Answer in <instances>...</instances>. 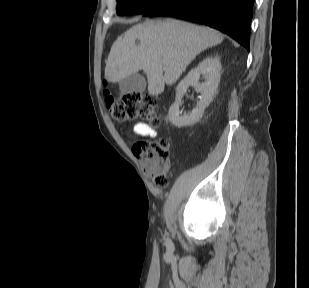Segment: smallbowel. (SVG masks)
Masks as SVG:
<instances>
[{
  "mask_svg": "<svg viewBox=\"0 0 309 288\" xmlns=\"http://www.w3.org/2000/svg\"><path fill=\"white\" fill-rule=\"evenodd\" d=\"M134 132L135 134L143 137L153 138L157 135L156 131L145 123H137L134 126Z\"/></svg>",
  "mask_w": 309,
  "mask_h": 288,
  "instance_id": "obj_1",
  "label": "small bowel"
}]
</instances>
